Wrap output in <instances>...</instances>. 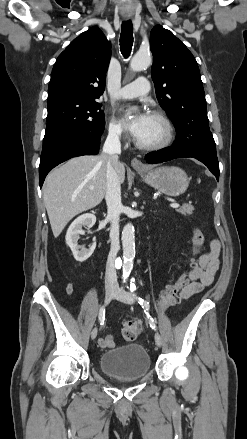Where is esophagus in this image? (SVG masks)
Masks as SVG:
<instances>
[{
  "instance_id": "34e87169",
  "label": "esophagus",
  "mask_w": 247,
  "mask_h": 439,
  "mask_svg": "<svg viewBox=\"0 0 247 439\" xmlns=\"http://www.w3.org/2000/svg\"><path fill=\"white\" fill-rule=\"evenodd\" d=\"M125 18L128 19V17ZM131 166L137 170L145 169V165L138 158L132 159Z\"/></svg>"
}]
</instances>
